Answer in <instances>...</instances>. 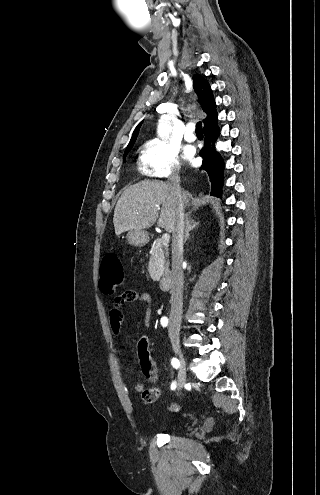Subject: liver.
Listing matches in <instances>:
<instances>
[{
  "mask_svg": "<svg viewBox=\"0 0 320 495\" xmlns=\"http://www.w3.org/2000/svg\"><path fill=\"white\" fill-rule=\"evenodd\" d=\"M183 204L189 203L187 192H183ZM161 207L160 215L159 209ZM177 213V201L168 183L141 181L128 187L119 198L113 216L115 234L119 236L129 230L150 228L157 225L169 233L173 232Z\"/></svg>",
  "mask_w": 320,
  "mask_h": 495,
  "instance_id": "liver-1",
  "label": "liver"
}]
</instances>
